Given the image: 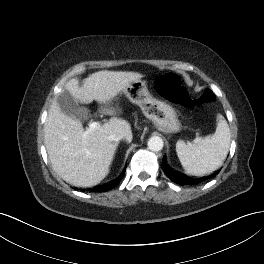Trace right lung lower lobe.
I'll use <instances>...</instances> for the list:
<instances>
[{
    "label": "right lung lower lobe",
    "instance_id": "right-lung-lower-lobe-1",
    "mask_svg": "<svg viewBox=\"0 0 264 264\" xmlns=\"http://www.w3.org/2000/svg\"><path fill=\"white\" fill-rule=\"evenodd\" d=\"M122 177L117 178L116 180L110 182L109 184H105L102 186H97L95 188H93L94 192H105L108 191L110 188H114L120 181H121Z\"/></svg>",
    "mask_w": 264,
    "mask_h": 264
}]
</instances>
